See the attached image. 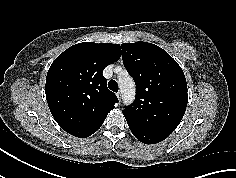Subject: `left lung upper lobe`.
I'll use <instances>...</instances> for the list:
<instances>
[{"mask_svg":"<svg viewBox=\"0 0 236 178\" xmlns=\"http://www.w3.org/2000/svg\"><path fill=\"white\" fill-rule=\"evenodd\" d=\"M122 59L136 83V98L123 114L129 125L170 135L182 120L187 83L178 63L147 42L124 43Z\"/></svg>","mask_w":236,"mask_h":178,"instance_id":"5c2ea615","label":"left lung upper lobe"}]
</instances>
